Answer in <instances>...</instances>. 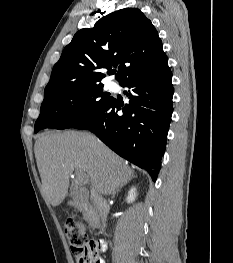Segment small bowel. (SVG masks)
<instances>
[{
	"instance_id": "obj_1",
	"label": "small bowel",
	"mask_w": 233,
	"mask_h": 263,
	"mask_svg": "<svg viewBox=\"0 0 233 263\" xmlns=\"http://www.w3.org/2000/svg\"><path fill=\"white\" fill-rule=\"evenodd\" d=\"M99 245H100L101 251L103 253L106 252V250H107V243L105 241H100ZM99 263H105V260L102 257H100L99 258Z\"/></svg>"
}]
</instances>
